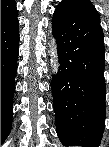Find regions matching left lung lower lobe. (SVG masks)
<instances>
[{"label": "left lung lower lobe", "mask_w": 109, "mask_h": 147, "mask_svg": "<svg viewBox=\"0 0 109 147\" xmlns=\"http://www.w3.org/2000/svg\"><path fill=\"white\" fill-rule=\"evenodd\" d=\"M59 70L52 77L57 134L66 146L100 145L106 116L105 53L100 22L66 3L53 15ZM77 76L70 86L69 75Z\"/></svg>", "instance_id": "0a47b994"}]
</instances>
